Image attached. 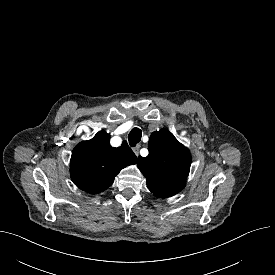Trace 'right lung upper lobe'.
<instances>
[{
  "label": "right lung upper lobe",
  "instance_id": "right-lung-upper-lobe-1",
  "mask_svg": "<svg viewBox=\"0 0 275 275\" xmlns=\"http://www.w3.org/2000/svg\"><path fill=\"white\" fill-rule=\"evenodd\" d=\"M109 141L110 135L100 131L91 140L82 141L73 149L71 179L77 187L90 194L103 192L122 168L137 162L126 141L118 148L112 147Z\"/></svg>",
  "mask_w": 275,
  "mask_h": 275
}]
</instances>
